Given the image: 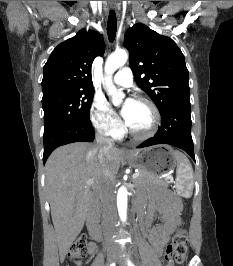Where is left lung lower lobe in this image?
<instances>
[{
	"instance_id": "left-lung-lower-lobe-1",
	"label": "left lung lower lobe",
	"mask_w": 233,
	"mask_h": 266,
	"mask_svg": "<svg viewBox=\"0 0 233 266\" xmlns=\"http://www.w3.org/2000/svg\"><path fill=\"white\" fill-rule=\"evenodd\" d=\"M161 114L162 124L156 135L147 139L138 148L156 144H169L186 151L195 161L191 136L190 98L170 103Z\"/></svg>"
}]
</instances>
